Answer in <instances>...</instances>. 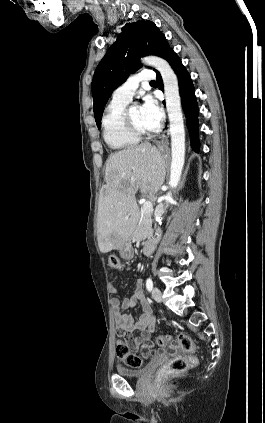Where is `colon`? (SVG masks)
<instances>
[{"label":"colon","instance_id":"5ec220e1","mask_svg":"<svg viewBox=\"0 0 265 423\" xmlns=\"http://www.w3.org/2000/svg\"><path fill=\"white\" fill-rule=\"evenodd\" d=\"M109 266L114 270H119L121 268V261L118 256L110 255L109 256ZM172 336L170 334H161L156 339L157 348L150 351L151 356H155L159 348H164L168 345L171 346L172 350L177 348L189 353L190 355L173 358L170 362L164 365L160 371L159 376H169L176 373L185 372L190 366L194 365L197 362V358L193 355L194 346L192 339L189 335L185 333H179L176 337V344L172 345ZM117 357L130 368H140L142 366V359L133 354L128 345L125 342H120L117 345Z\"/></svg>","mask_w":265,"mask_h":423}]
</instances>
